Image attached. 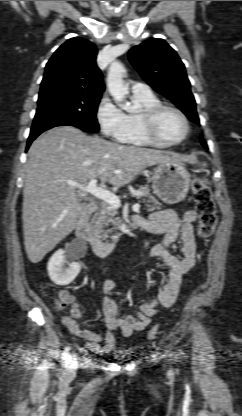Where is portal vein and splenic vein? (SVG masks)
Returning a JSON list of instances; mask_svg holds the SVG:
<instances>
[{
  "label": "portal vein and splenic vein",
  "instance_id": "1",
  "mask_svg": "<svg viewBox=\"0 0 242 416\" xmlns=\"http://www.w3.org/2000/svg\"><path fill=\"white\" fill-rule=\"evenodd\" d=\"M69 185L79 188L83 192L90 193L94 197L105 201L106 203L110 204L115 208H119L121 206V201L118 196L114 193L97 186V180L91 179L88 185H83L75 182H69ZM138 195H141V192H136ZM133 210H138L140 205L138 203L133 205Z\"/></svg>",
  "mask_w": 242,
  "mask_h": 416
}]
</instances>
